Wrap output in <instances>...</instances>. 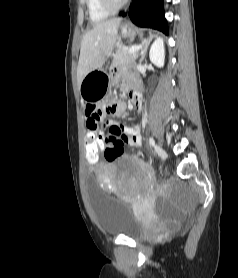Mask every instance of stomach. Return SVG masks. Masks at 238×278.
<instances>
[{
	"label": "stomach",
	"instance_id": "1",
	"mask_svg": "<svg viewBox=\"0 0 238 278\" xmlns=\"http://www.w3.org/2000/svg\"><path fill=\"white\" fill-rule=\"evenodd\" d=\"M120 32L122 37H134L139 30L130 23H124L120 26ZM109 83L110 77L107 74V67L102 66L95 69L82 80L79 87L80 96L85 101H97L104 96Z\"/></svg>",
	"mask_w": 238,
	"mask_h": 278
}]
</instances>
